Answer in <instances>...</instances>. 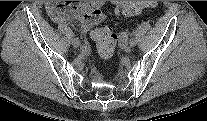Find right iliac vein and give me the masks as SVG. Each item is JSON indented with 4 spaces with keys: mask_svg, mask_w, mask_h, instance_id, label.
Returning <instances> with one entry per match:
<instances>
[{
    "mask_svg": "<svg viewBox=\"0 0 207 121\" xmlns=\"http://www.w3.org/2000/svg\"><path fill=\"white\" fill-rule=\"evenodd\" d=\"M72 45H73L74 48H78L80 43H79V41L77 39H73L72 40Z\"/></svg>",
    "mask_w": 207,
    "mask_h": 121,
    "instance_id": "obj_1",
    "label": "right iliac vein"
}]
</instances>
